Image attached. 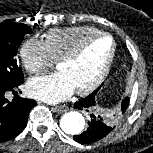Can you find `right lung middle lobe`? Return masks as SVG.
Masks as SVG:
<instances>
[{
    "mask_svg": "<svg viewBox=\"0 0 153 153\" xmlns=\"http://www.w3.org/2000/svg\"><path fill=\"white\" fill-rule=\"evenodd\" d=\"M31 33V28L25 24L11 21L0 24V83L16 85L23 82L24 75L16 55L25 34Z\"/></svg>",
    "mask_w": 153,
    "mask_h": 153,
    "instance_id": "1",
    "label": "right lung middle lobe"
}]
</instances>
